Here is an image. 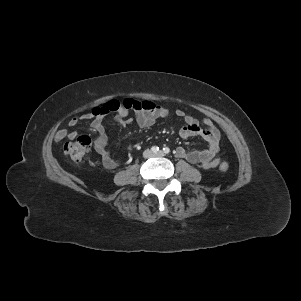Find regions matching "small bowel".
<instances>
[{
    "instance_id": "small-bowel-1",
    "label": "small bowel",
    "mask_w": 301,
    "mask_h": 301,
    "mask_svg": "<svg viewBox=\"0 0 301 301\" xmlns=\"http://www.w3.org/2000/svg\"><path fill=\"white\" fill-rule=\"evenodd\" d=\"M125 102L127 106L121 108L113 116V119L121 125H130L133 123L134 119L129 116L130 111L135 112V120L141 128H149L157 119L166 118L170 114L166 108L155 102H139L133 99H127ZM133 102L146 105V107H130V104ZM175 114L184 121V125L179 131L181 138L186 139L197 136L208 144V148L204 150H188L184 147H178L176 149V155L190 163L199 164L204 169L215 168L220 162L219 158L216 157L220 148L219 130L210 119H205L203 125H200L197 119L187 115L182 110H176ZM104 119L105 114H94L92 110L80 117L72 118L69 121V126L74 128L84 121L92 120L91 126L97 133V137L94 140L95 151L100 156L103 166L107 169H113L119 165V162L116 161L108 151L109 139L106 135ZM76 136L77 133L75 131L69 132L67 129H60L56 132L55 139L57 141L65 138L75 139Z\"/></svg>"
}]
</instances>
